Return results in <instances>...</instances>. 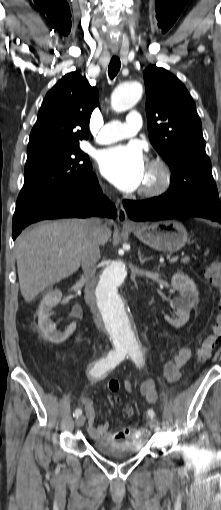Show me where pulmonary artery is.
<instances>
[{
    "instance_id": "obj_1",
    "label": "pulmonary artery",
    "mask_w": 221,
    "mask_h": 510,
    "mask_svg": "<svg viewBox=\"0 0 221 510\" xmlns=\"http://www.w3.org/2000/svg\"><path fill=\"white\" fill-rule=\"evenodd\" d=\"M141 127V117L138 112L129 113L126 122L111 121L100 129L96 138L99 144H111L134 136Z\"/></svg>"
}]
</instances>
